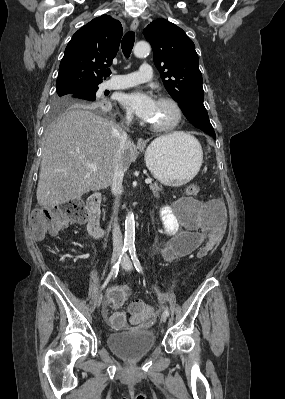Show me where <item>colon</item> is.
Instances as JSON below:
<instances>
[{
  "instance_id": "colon-1",
  "label": "colon",
  "mask_w": 285,
  "mask_h": 399,
  "mask_svg": "<svg viewBox=\"0 0 285 399\" xmlns=\"http://www.w3.org/2000/svg\"><path fill=\"white\" fill-rule=\"evenodd\" d=\"M200 191L197 183H191L187 186L185 192L189 197H195ZM86 210L81 199L73 198L59 206L44 207L36 209L30 217L32 231L37 236H45L51 232L63 229L68 223H83L86 220ZM221 239L213 236L201 248V255L211 254L220 244ZM130 312L134 316L148 317L153 309L146 306L141 300H134L130 306Z\"/></svg>"
}]
</instances>
